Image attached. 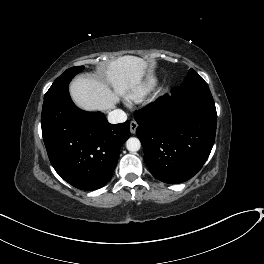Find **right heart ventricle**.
I'll list each match as a JSON object with an SVG mask.
<instances>
[{
  "label": "right heart ventricle",
  "instance_id": "1",
  "mask_svg": "<svg viewBox=\"0 0 264 264\" xmlns=\"http://www.w3.org/2000/svg\"><path fill=\"white\" fill-rule=\"evenodd\" d=\"M158 84V79L155 77H147L136 89H134L129 95L128 100L130 102H138L147 94H149Z\"/></svg>",
  "mask_w": 264,
  "mask_h": 264
}]
</instances>
